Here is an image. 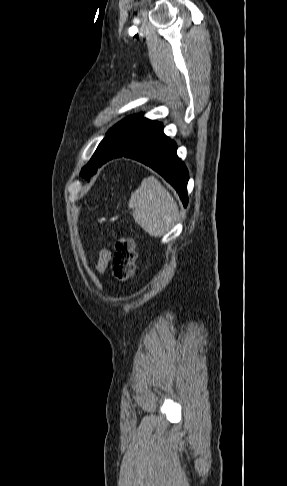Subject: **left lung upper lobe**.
<instances>
[{
	"label": "left lung upper lobe",
	"mask_w": 287,
	"mask_h": 486,
	"mask_svg": "<svg viewBox=\"0 0 287 486\" xmlns=\"http://www.w3.org/2000/svg\"><path fill=\"white\" fill-rule=\"evenodd\" d=\"M161 123L142 117V114L125 118L106 134L95 153L80 172L89 181L106 161L140 148L160 127Z\"/></svg>",
	"instance_id": "5c2ea615"
}]
</instances>
